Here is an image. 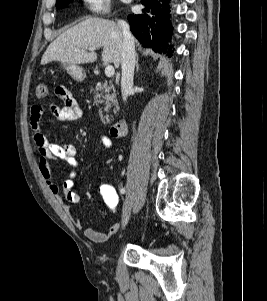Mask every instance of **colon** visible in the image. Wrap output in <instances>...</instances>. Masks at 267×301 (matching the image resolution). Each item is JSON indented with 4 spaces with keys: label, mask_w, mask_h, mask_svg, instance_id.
Here are the masks:
<instances>
[{
    "label": "colon",
    "mask_w": 267,
    "mask_h": 301,
    "mask_svg": "<svg viewBox=\"0 0 267 301\" xmlns=\"http://www.w3.org/2000/svg\"><path fill=\"white\" fill-rule=\"evenodd\" d=\"M35 94L39 99L45 98L48 94L47 85L44 83L38 84L35 89ZM97 192L106 210L116 215L119 211V196L115 188L110 184L101 183L97 187Z\"/></svg>",
    "instance_id": "obj_1"
}]
</instances>
